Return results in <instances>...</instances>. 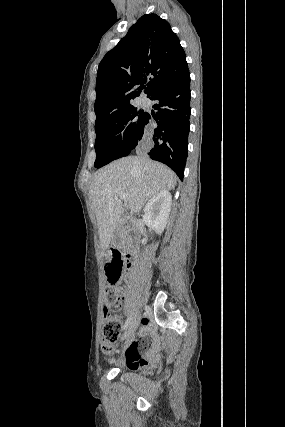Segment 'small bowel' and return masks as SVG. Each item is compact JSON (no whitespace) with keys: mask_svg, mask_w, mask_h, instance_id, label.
Here are the masks:
<instances>
[{"mask_svg":"<svg viewBox=\"0 0 285 427\" xmlns=\"http://www.w3.org/2000/svg\"><path fill=\"white\" fill-rule=\"evenodd\" d=\"M148 325V322L144 323ZM159 344L151 345L149 338L142 337L132 340L125 353L126 363L134 368L145 367L147 364H153L159 357Z\"/></svg>","mask_w":285,"mask_h":427,"instance_id":"obj_1","label":"small bowel"}]
</instances>
